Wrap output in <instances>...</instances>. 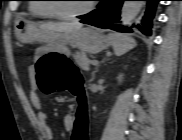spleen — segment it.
I'll use <instances>...</instances> for the list:
<instances>
[{
    "label": "spleen",
    "mask_w": 182,
    "mask_h": 140,
    "mask_svg": "<svg viewBox=\"0 0 182 140\" xmlns=\"http://www.w3.org/2000/svg\"><path fill=\"white\" fill-rule=\"evenodd\" d=\"M108 39L112 43L114 52L117 56L125 54L136 46V41L128 35L110 33Z\"/></svg>",
    "instance_id": "spleen-1"
}]
</instances>
